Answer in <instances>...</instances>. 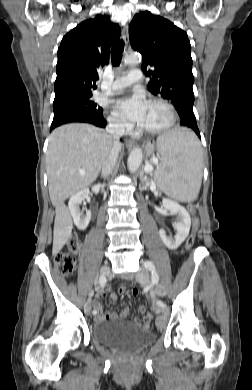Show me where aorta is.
<instances>
[{"label": "aorta", "instance_id": "aorta-1", "mask_svg": "<svg viewBox=\"0 0 252 390\" xmlns=\"http://www.w3.org/2000/svg\"><path fill=\"white\" fill-rule=\"evenodd\" d=\"M140 56L137 54H128L125 56L126 63L136 64L140 62ZM142 162V150L140 148H134L128 157L127 166L128 170L132 173L136 172Z\"/></svg>", "mask_w": 252, "mask_h": 390}]
</instances>
